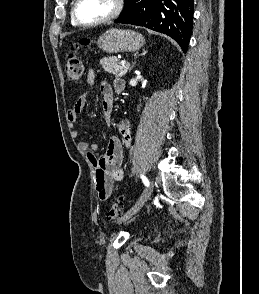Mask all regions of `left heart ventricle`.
I'll list each match as a JSON object with an SVG mask.
<instances>
[{
  "label": "left heart ventricle",
  "instance_id": "b2bd125f",
  "mask_svg": "<svg viewBox=\"0 0 259 294\" xmlns=\"http://www.w3.org/2000/svg\"><path fill=\"white\" fill-rule=\"evenodd\" d=\"M114 8V0H81L77 13L82 22L90 23L110 14Z\"/></svg>",
  "mask_w": 259,
  "mask_h": 294
}]
</instances>
